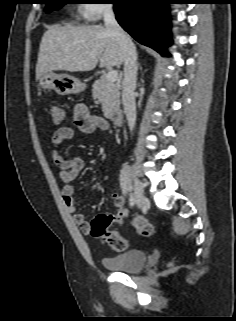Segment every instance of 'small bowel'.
Instances as JSON below:
<instances>
[{
  "mask_svg": "<svg viewBox=\"0 0 236 321\" xmlns=\"http://www.w3.org/2000/svg\"><path fill=\"white\" fill-rule=\"evenodd\" d=\"M74 126L83 133L89 134L96 129L107 130L109 124L103 118L92 114L85 105L78 104L74 108ZM75 134L73 126H63L58 128L53 136V152L52 158L54 164L60 169V177L64 182L62 187V199L66 209L72 213L74 222L80 227V229L87 233L89 229V222L85 216L81 213H77V205L75 198V187L71 184L75 180L82 169L84 168V161L80 157L65 158L61 151V145L68 139H71ZM123 190V187L121 185ZM112 199L117 207H120L125 202V192H114Z\"/></svg>",
  "mask_w": 236,
  "mask_h": 321,
  "instance_id": "obj_1",
  "label": "small bowel"
}]
</instances>
